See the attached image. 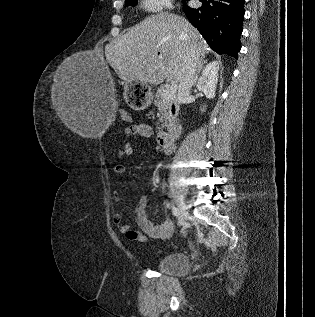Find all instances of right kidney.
<instances>
[{"instance_id": "right-kidney-1", "label": "right kidney", "mask_w": 315, "mask_h": 317, "mask_svg": "<svg viewBox=\"0 0 315 317\" xmlns=\"http://www.w3.org/2000/svg\"><path fill=\"white\" fill-rule=\"evenodd\" d=\"M218 61H212L204 68L202 75L200 76L197 88L203 92L209 99L215 97L216 85L218 82Z\"/></svg>"}]
</instances>
